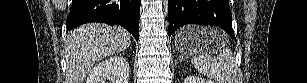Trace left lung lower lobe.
<instances>
[{"instance_id": "1", "label": "left lung lower lobe", "mask_w": 307, "mask_h": 83, "mask_svg": "<svg viewBox=\"0 0 307 83\" xmlns=\"http://www.w3.org/2000/svg\"><path fill=\"white\" fill-rule=\"evenodd\" d=\"M186 24L216 25L235 39L228 0H169V37Z\"/></svg>"}]
</instances>
